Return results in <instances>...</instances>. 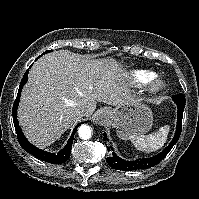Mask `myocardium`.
Returning a JSON list of instances; mask_svg holds the SVG:
<instances>
[{
  "label": "myocardium",
  "instance_id": "f54148a6",
  "mask_svg": "<svg viewBox=\"0 0 199 199\" xmlns=\"http://www.w3.org/2000/svg\"><path fill=\"white\" fill-rule=\"evenodd\" d=\"M166 88V83L161 78H154L150 82V89L152 92H161Z\"/></svg>",
  "mask_w": 199,
  "mask_h": 199
}]
</instances>
